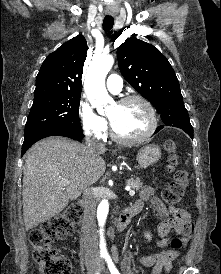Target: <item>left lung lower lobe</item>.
I'll list each match as a JSON object with an SVG mask.
<instances>
[{"mask_svg":"<svg viewBox=\"0 0 221 274\" xmlns=\"http://www.w3.org/2000/svg\"><path fill=\"white\" fill-rule=\"evenodd\" d=\"M162 120L165 125L178 127L185 131L190 137H193V128L190 124L189 115L185 106L168 111V114H165ZM163 127V125L159 126L155 133H157Z\"/></svg>","mask_w":221,"mask_h":274,"instance_id":"1","label":"left lung lower lobe"}]
</instances>
